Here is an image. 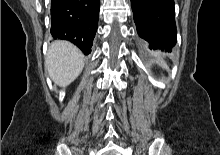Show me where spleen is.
Wrapping results in <instances>:
<instances>
[{
    "label": "spleen",
    "mask_w": 220,
    "mask_h": 155,
    "mask_svg": "<svg viewBox=\"0 0 220 155\" xmlns=\"http://www.w3.org/2000/svg\"><path fill=\"white\" fill-rule=\"evenodd\" d=\"M159 64H160L163 68L168 69L167 64H166L163 60H159Z\"/></svg>",
    "instance_id": "3e777b00"
}]
</instances>
